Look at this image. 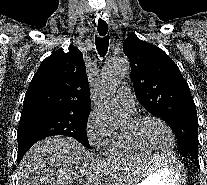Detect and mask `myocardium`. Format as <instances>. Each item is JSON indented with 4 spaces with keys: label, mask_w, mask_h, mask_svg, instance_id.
I'll list each match as a JSON object with an SVG mask.
<instances>
[{
    "label": "myocardium",
    "mask_w": 207,
    "mask_h": 185,
    "mask_svg": "<svg viewBox=\"0 0 207 185\" xmlns=\"http://www.w3.org/2000/svg\"><path fill=\"white\" fill-rule=\"evenodd\" d=\"M149 120H154L159 122L168 132L170 140H171V147L169 149V151L167 152V154L165 156L162 157H157V156H153L151 154H149L136 140L134 134L132 132H125L124 131V137L126 140L127 145L130 147V149H132L134 152L144 156L145 158L149 159V160H153V161H166L169 160L175 152V148H176V136L175 133L173 131V129L171 128V126L162 118L155 116V115H144V116H139L136 117L132 120V123L135 127L141 125L142 123L149 121Z\"/></svg>",
    "instance_id": "obj_1"
}]
</instances>
